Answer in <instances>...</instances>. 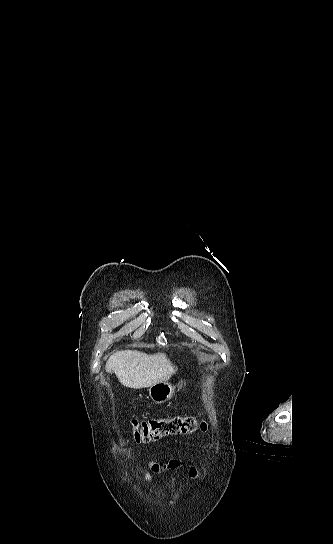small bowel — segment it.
Returning a JSON list of instances; mask_svg holds the SVG:
<instances>
[{
  "mask_svg": "<svg viewBox=\"0 0 333 544\" xmlns=\"http://www.w3.org/2000/svg\"><path fill=\"white\" fill-rule=\"evenodd\" d=\"M182 464H183V462L180 459H172L166 464H160V463H158V462H156L154 460H150L148 462V469H144L142 474H143V477H144L145 481L148 484L153 485L152 476H151L150 472L162 473V472H164L166 470L177 469V468L181 467ZM189 476L191 478L196 477V470L194 468L189 469ZM136 478H138L137 475H136Z\"/></svg>",
  "mask_w": 333,
  "mask_h": 544,
  "instance_id": "1",
  "label": "small bowel"
}]
</instances>
